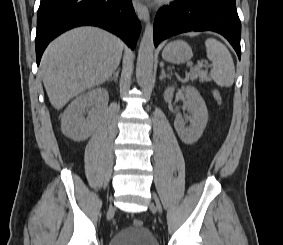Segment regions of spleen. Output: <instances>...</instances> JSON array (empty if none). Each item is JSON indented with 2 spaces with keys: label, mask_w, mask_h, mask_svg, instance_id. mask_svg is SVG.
Wrapping results in <instances>:
<instances>
[{
  "label": "spleen",
  "mask_w": 283,
  "mask_h": 245,
  "mask_svg": "<svg viewBox=\"0 0 283 245\" xmlns=\"http://www.w3.org/2000/svg\"><path fill=\"white\" fill-rule=\"evenodd\" d=\"M207 58L212 62L210 76L219 86L230 87L234 83L235 66L227 47L214 38L205 41Z\"/></svg>",
  "instance_id": "obj_1"
}]
</instances>
